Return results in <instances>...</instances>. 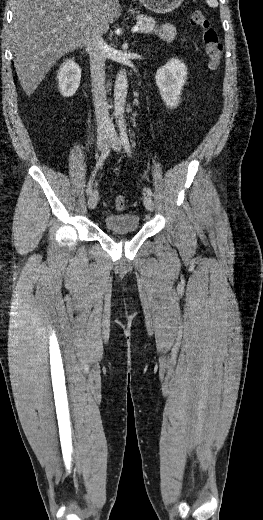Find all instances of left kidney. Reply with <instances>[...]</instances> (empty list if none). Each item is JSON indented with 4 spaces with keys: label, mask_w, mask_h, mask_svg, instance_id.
<instances>
[{
    "label": "left kidney",
    "mask_w": 263,
    "mask_h": 520,
    "mask_svg": "<svg viewBox=\"0 0 263 520\" xmlns=\"http://www.w3.org/2000/svg\"><path fill=\"white\" fill-rule=\"evenodd\" d=\"M156 84L162 100L169 108H175L187 79V67L178 59H172L157 70Z\"/></svg>",
    "instance_id": "left-kidney-1"
}]
</instances>
